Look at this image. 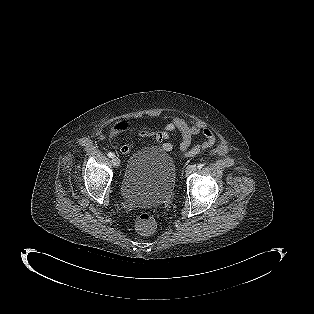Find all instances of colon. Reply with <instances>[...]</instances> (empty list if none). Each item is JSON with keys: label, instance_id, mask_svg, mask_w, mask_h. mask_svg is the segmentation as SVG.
Returning <instances> with one entry per match:
<instances>
[{"label": "colon", "instance_id": "obj_1", "mask_svg": "<svg viewBox=\"0 0 314 314\" xmlns=\"http://www.w3.org/2000/svg\"><path fill=\"white\" fill-rule=\"evenodd\" d=\"M117 129H123V124H118ZM137 231L143 236H150L154 233L156 223L152 215L148 213L140 214L135 222Z\"/></svg>", "mask_w": 314, "mask_h": 314}]
</instances>
